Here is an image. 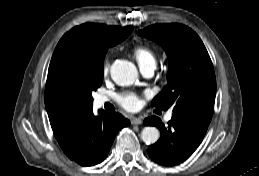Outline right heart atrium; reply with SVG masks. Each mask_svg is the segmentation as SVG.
I'll return each mask as SVG.
<instances>
[{"label":"right heart atrium","instance_id":"1","mask_svg":"<svg viewBox=\"0 0 259 176\" xmlns=\"http://www.w3.org/2000/svg\"><path fill=\"white\" fill-rule=\"evenodd\" d=\"M110 69V61L108 59L105 60L104 64H103V74L107 75Z\"/></svg>","mask_w":259,"mask_h":176}]
</instances>
